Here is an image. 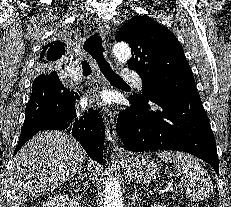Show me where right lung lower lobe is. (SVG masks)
I'll list each match as a JSON object with an SVG mask.
<instances>
[{
  "label": "right lung lower lobe",
  "instance_id": "98d812e1",
  "mask_svg": "<svg viewBox=\"0 0 231 207\" xmlns=\"http://www.w3.org/2000/svg\"><path fill=\"white\" fill-rule=\"evenodd\" d=\"M78 94L63 86L56 72L39 75L32 84L25 121L14 154L38 131L67 130L87 154L103 162L104 123L96 110L80 111Z\"/></svg>",
  "mask_w": 231,
  "mask_h": 207
}]
</instances>
